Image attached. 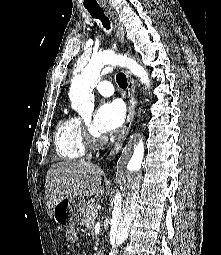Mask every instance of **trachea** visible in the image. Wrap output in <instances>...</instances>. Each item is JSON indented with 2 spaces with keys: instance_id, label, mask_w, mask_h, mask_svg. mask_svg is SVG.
<instances>
[{
  "instance_id": "1",
  "label": "trachea",
  "mask_w": 221,
  "mask_h": 255,
  "mask_svg": "<svg viewBox=\"0 0 221 255\" xmlns=\"http://www.w3.org/2000/svg\"><path fill=\"white\" fill-rule=\"evenodd\" d=\"M89 13L91 14V16L93 18H96V19H99L101 20L103 26L106 28V29H110V21L109 19L105 16L104 14V11L103 9H100V8H95V9H88ZM116 80H117V83L118 85L121 87V88H126L128 86V83H127V78H126V75L124 73H118L116 75Z\"/></svg>"
}]
</instances>
